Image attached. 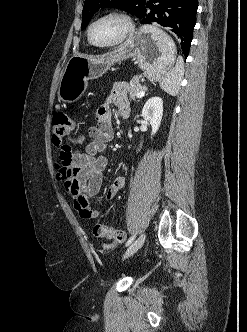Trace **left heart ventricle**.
Returning a JSON list of instances; mask_svg holds the SVG:
<instances>
[{"instance_id": "b2bd125f", "label": "left heart ventricle", "mask_w": 247, "mask_h": 332, "mask_svg": "<svg viewBox=\"0 0 247 332\" xmlns=\"http://www.w3.org/2000/svg\"><path fill=\"white\" fill-rule=\"evenodd\" d=\"M125 30L124 22L116 17L97 21L91 29V38L97 44H107L117 40Z\"/></svg>"}]
</instances>
